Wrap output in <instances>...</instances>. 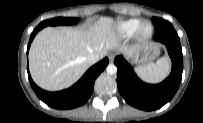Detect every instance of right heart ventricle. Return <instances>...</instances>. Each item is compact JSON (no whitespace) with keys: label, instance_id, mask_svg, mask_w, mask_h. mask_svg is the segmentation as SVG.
Masks as SVG:
<instances>
[{"label":"right heart ventricle","instance_id":"obj_1","mask_svg":"<svg viewBox=\"0 0 203 123\" xmlns=\"http://www.w3.org/2000/svg\"><path fill=\"white\" fill-rule=\"evenodd\" d=\"M140 23V19H128L120 21L115 25V31L122 37H130L134 35V32Z\"/></svg>","mask_w":203,"mask_h":123}]
</instances>
